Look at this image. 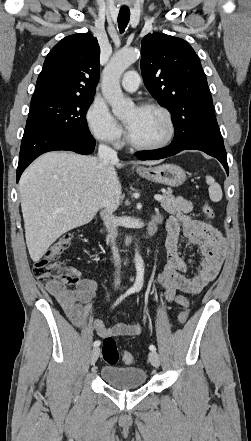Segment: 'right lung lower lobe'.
<instances>
[{
	"mask_svg": "<svg viewBox=\"0 0 251 441\" xmlns=\"http://www.w3.org/2000/svg\"><path fill=\"white\" fill-rule=\"evenodd\" d=\"M95 145L96 141L92 135L78 136L41 123H26L17 168V182L27 166L43 153L68 150L87 155L94 151Z\"/></svg>",
	"mask_w": 251,
	"mask_h": 441,
	"instance_id": "1",
	"label": "right lung lower lobe"
}]
</instances>
